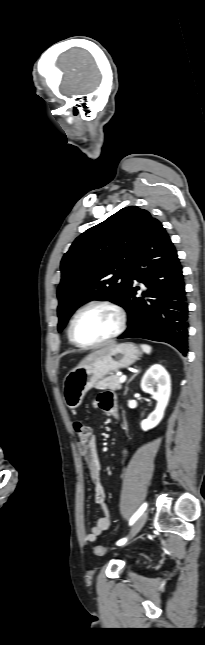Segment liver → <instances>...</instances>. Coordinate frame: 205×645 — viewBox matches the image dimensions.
<instances>
[{
	"mask_svg": "<svg viewBox=\"0 0 205 645\" xmlns=\"http://www.w3.org/2000/svg\"><path fill=\"white\" fill-rule=\"evenodd\" d=\"M115 346H116V344H115V343H111V344H109V345H107V346H105V347H103V348H101V349H99V350H97V351H95V352H93V353L89 354L88 356H86V357H85V358L80 362V364L78 365V367H77V368H80V367L84 366L85 364H87L88 362H91L92 360H94V359H96V358H98V357H100V356H102V355H104V354H106V353L110 352L111 350H113V348H114Z\"/></svg>",
	"mask_w": 205,
	"mask_h": 645,
	"instance_id": "liver-1",
	"label": "liver"
}]
</instances>
